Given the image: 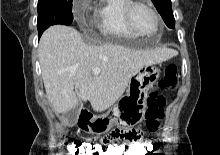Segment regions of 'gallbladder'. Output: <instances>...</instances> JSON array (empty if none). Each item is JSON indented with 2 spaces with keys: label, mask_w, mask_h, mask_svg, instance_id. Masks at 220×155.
Segmentation results:
<instances>
[{
  "label": "gallbladder",
  "mask_w": 220,
  "mask_h": 155,
  "mask_svg": "<svg viewBox=\"0 0 220 155\" xmlns=\"http://www.w3.org/2000/svg\"><path fill=\"white\" fill-rule=\"evenodd\" d=\"M80 106L77 105L75 108L71 109L65 114V118L67 119L69 125L73 126L76 124L77 117L79 114Z\"/></svg>",
  "instance_id": "gallbladder-1"
}]
</instances>
